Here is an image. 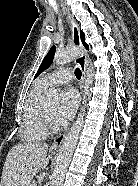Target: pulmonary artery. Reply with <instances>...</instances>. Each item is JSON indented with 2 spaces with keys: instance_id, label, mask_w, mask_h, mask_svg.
I'll list each match as a JSON object with an SVG mask.
<instances>
[{
  "instance_id": "e3ab8cb5",
  "label": "pulmonary artery",
  "mask_w": 138,
  "mask_h": 186,
  "mask_svg": "<svg viewBox=\"0 0 138 186\" xmlns=\"http://www.w3.org/2000/svg\"><path fill=\"white\" fill-rule=\"evenodd\" d=\"M74 72L69 68H63L44 76L41 82L47 87L67 84L73 80Z\"/></svg>"
}]
</instances>
